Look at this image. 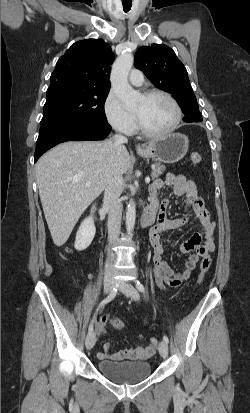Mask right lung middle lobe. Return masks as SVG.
I'll return each mask as SVG.
<instances>
[{"mask_svg":"<svg viewBox=\"0 0 250 413\" xmlns=\"http://www.w3.org/2000/svg\"><path fill=\"white\" fill-rule=\"evenodd\" d=\"M109 90L63 85L47 91L40 132L64 122L107 123L104 104Z\"/></svg>","mask_w":250,"mask_h":413,"instance_id":"1","label":"right lung middle lobe"}]
</instances>
